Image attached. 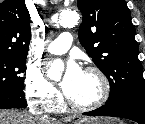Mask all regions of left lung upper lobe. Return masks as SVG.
I'll return each instance as SVG.
<instances>
[{
	"instance_id": "5c2ea615",
	"label": "left lung upper lobe",
	"mask_w": 145,
	"mask_h": 124,
	"mask_svg": "<svg viewBox=\"0 0 145 124\" xmlns=\"http://www.w3.org/2000/svg\"><path fill=\"white\" fill-rule=\"evenodd\" d=\"M83 15L81 45L110 83L107 103L124 98L145 102L135 27L125 0H78Z\"/></svg>"
}]
</instances>
